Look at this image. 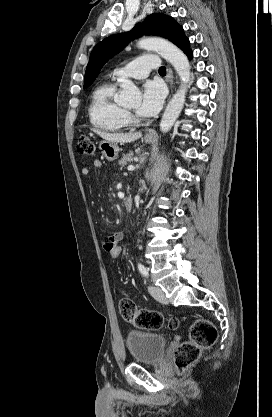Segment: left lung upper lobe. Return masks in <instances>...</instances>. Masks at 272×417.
Wrapping results in <instances>:
<instances>
[{"mask_svg": "<svg viewBox=\"0 0 272 417\" xmlns=\"http://www.w3.org/2000/svg\"><path fill=\"white\" fill-rule=\"evenodd\" d=\"M142 35H158L167 38L184 52L190 49L189 40L184 35L183 28L172 17L154 13L130 32L110 36L94 47L86 68L84 88L93 83L102 66L111 57L119 53L131 40Z\"/></svg>", "mask_w": 272, "mask_h": 417, "instance_id": "obj_1", "label": "left lung upper lobe"}]
</instances>
